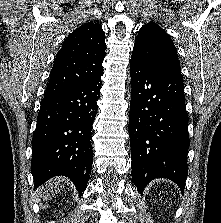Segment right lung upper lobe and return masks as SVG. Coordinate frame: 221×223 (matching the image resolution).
Segmentation results:
<instances>
[{
    "label": "right lung upper lobe",
    "mask_w": 221,
    "mask_h": 223,
    "mask_svg": "<svg viewBox=\"0 0 221 223\" xmlns=\"http://www.w3.org/2000/svg\"><path fill=\"white\" fill-rule=\"evenodd\" d=\"M105 35L92 21L75 29L57 53L45 96L78 86L103 72Z\"/></svg>",
    "instance_id": "right-lung-upper-lobe-1"
}]
</instances>
